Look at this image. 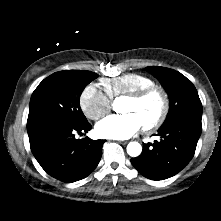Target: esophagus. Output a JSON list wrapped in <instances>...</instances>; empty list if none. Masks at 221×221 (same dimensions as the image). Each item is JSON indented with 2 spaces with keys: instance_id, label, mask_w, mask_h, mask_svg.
Returning <instances> with one entry per match:
<instances>
[{
  "instance_id": "esophagus-1",
  "label": "esophagus",
  "mask_w": 221,
  "mask_h": 221,
  "mask_svg": "<svg viewBox=\"0 0 221 221\" xmlns=\"http://www.w3.org/2000/svg\"><path fill=\"white\" fill-rule=\"evenodd\" d=\"M118 143L125 145L128 143V141H118Z\"/></svg>"
}]
</instances>
